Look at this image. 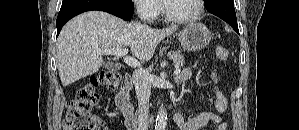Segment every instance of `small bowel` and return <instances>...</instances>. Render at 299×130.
Wrapping results in <instances>:
<instances>
[{
  "mask_svg": "<svg viewBox=\"0 0 299 130\" xmlns=\"http://www.w3.org/2000/svg\"><path fill=\"white\" fill-rule=\"evenodd\" d=\"M191 75L192 70L190 68H186L181 73L180 80L189 79ZM213 91L215 94L214 105L216 112H203L189 119H184L181 115H176L175 121L180 130H199L206 126L209 122H214L217 124L216 130H226L227 124L223 121L221 114L225 112L227 108V99L220 91L218 86H214ZM106 128L108 127L106 126Z\"/></svg>",
  "mask_w": 299,
  "mask_h": 130,
  "instance_id": "c3829d8e",
  "label": "small bowel"
}]
</instances>
